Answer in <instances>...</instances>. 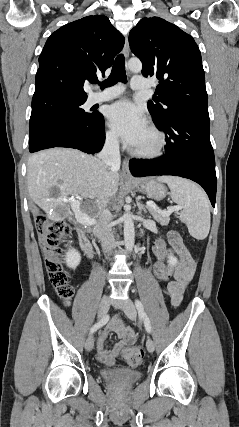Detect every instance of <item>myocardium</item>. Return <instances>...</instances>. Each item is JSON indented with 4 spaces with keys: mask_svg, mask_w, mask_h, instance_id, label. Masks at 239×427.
I'll use <instances>...</instances> for the list:
<instances>
[{
    "mask_svg": "<svg viewBox=\"0 0 239 427\" xmlns=\"http://www.w3.org/2000/svg\"><path fill=\"white\" fill-rule=\"evenodd\" d=\"M147 128L151 131V133L155 137L154 145L148 149H138V148H130V152L139 158L144 159H154L160 157L166 147V138L164 133L154 124H148Z\"/></svg>",
    "mask_w": 239,
    "mask_h": 427,
    "instance_id": "1",
    "label": "myocardium"
}]
</instances>
